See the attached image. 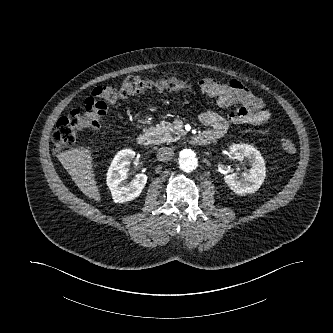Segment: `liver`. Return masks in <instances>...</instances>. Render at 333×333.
Returning <instances> with one entry per match:
<instances>
[{"label": "liver", "mask_w": 333, "mask_h": 333, "mask_svg": "<svg viewBox=\"0 0 333 333\" xmlns=\"http://www.w3.org/2000/svg\"><path fill=\"white\" fill-rule=\"evenodd\" d=\"M59 161L71 175L79 189L89 198L100 201V193L95 181L89 148H73L61 153Z\"/></svg>", "instance_id": "obj_1"}]
</instances>
